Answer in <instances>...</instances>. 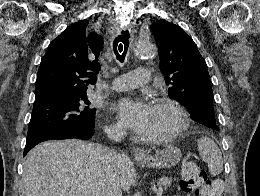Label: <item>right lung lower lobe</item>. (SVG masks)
Here are the masks:
<instances>
[{
    "label": "right lung lower lobe",
    "instance_id": "obj_1",
    "mask_svg": "<svg viewBox=\"0 0 260 196\" xmlns=\"http://www.w3.org/2000/svg\"><path fill=\"white\" fill-rule=\"evenodd\" d=\"M94 127H95V124L91 125L89 127L83 128V129H79V130H76V131H73L70 133H66V134L54 137L53 139H50V140H60V139H70V138L88 140L94 134ZM35 145H37V144H35ZM35 145L25 146L23 156H25L28 153V151L31 150Z\"/></svg>",
    "mask_w": 260,
    "mask_h": 196
}]
</instances>
